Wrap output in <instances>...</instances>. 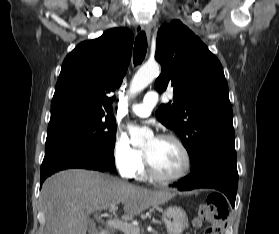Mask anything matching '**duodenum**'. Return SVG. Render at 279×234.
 <instances>
[{"mask_svg": "<svg viewBox=\"0 0 279 234\" xmlns=\"http://www.w3.org/2000/svg\"><path fill=\"white\" fill-rule=\"evenodd\" d=\"M98 234H110V232L108 230H102Z\"/></svg>", "mask_w": 279, "mask_h": 234, "instance_id": "obj_1", "label": "duodenum"}]
</instances>
